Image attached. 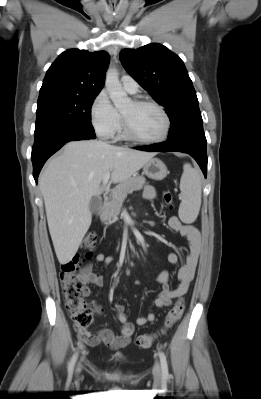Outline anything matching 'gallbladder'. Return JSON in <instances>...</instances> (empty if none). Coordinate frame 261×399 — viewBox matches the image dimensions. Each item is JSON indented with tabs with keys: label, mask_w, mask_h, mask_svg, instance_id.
I'll list each match as a JSON object with an SVG mask.
<instances>
[{
	"label": "gallbladder",
	"mask_w": 261,
	"mask_h": 399,
	"mask_svg": "<svg viewBox=\"0 0 261 399\" xmlns=\"http://www.w3.org/2000/svg\"><path fill=\"white\" fill-rule=\"evenodd\" d=\"M102 205V199L99 196H94L92 197L90 204H89V209L91 213H96Z\"/></svg>",
	"instance_id": "obj_1"
}]
</instances>
